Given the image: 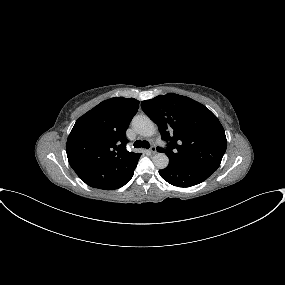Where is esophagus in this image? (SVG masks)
<instances>
[{
    "label": "esophagus",
    "instance_id": "1",
    "mask_svg": "<svg viewBox=\"0 0 285 285\" xmlns=\"http://www.w3.org/2000/svg\"><path fill=\"white\" fill-rule=\"evenodd\" d=\"M151 154H155L156 153V147L152 146L149 150H148Z\"/></svg>",
    "mask_w": 285,
    "mask_h": 285
}]
</instances>
